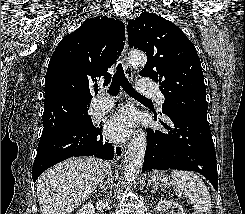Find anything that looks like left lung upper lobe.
<instances>
[{
    "label": "left lung upper lobe",
    "instance_id": "1",
    "mask_svg": "<svg viewBox=\"0 0 245 214\" xmlns=\"http://www.w3.org/2000/svg\"><path fill=\"white\" fill-rule=\"evenodd\" d=\"M129 46L146 53L140 71L160 83L168 116L190 108L208 109L200 59L193 43L172 22L143 12L127 26Z\"/></svg>",
    "mask_w": 245,
    "mask_h": 214
}]
</instances>
